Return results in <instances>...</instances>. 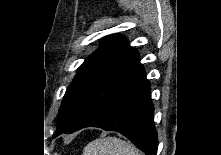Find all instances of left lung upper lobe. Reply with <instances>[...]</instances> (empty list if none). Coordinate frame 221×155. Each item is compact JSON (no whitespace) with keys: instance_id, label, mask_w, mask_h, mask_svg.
<instances>
[{"instance_id":"5c2ea615","label":"left lung upper lobe","mask_w":221,"mask_h":155,"mask_svg":"<svg viewBox=\"0 0 221 155\" xmlns=\"http://www.w3.org/2000/svg\"><path fill=\"white\" fill-rule=\"evenodd\" d=\"M137 53L123 37L107 36L100 48L80 66L72 85L67 89L59 110L56 133L72 123L103 80Z\"/></svg>"}]
</instances>
